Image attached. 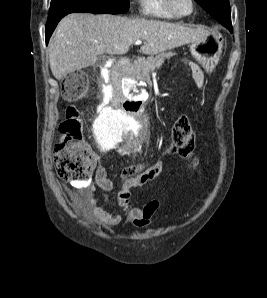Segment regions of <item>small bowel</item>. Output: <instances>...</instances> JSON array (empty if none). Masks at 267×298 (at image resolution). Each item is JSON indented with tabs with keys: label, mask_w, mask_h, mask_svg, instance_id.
<instances>
[{
	"label": "small bowel",
	"mask_w": 267,
	"mask_h": 298,
	"mask_svg": "<svg viewBox=\"0 0 267 298\" xmlns=\"http://www.w3.org/2000/svg\"><path fill=\"white\" fill-rule=\"evenodd\" d=\"M190 67L195 84L203 91L206 86V80L202 69L194 62H190ZM163 171L164 165L158 163L153 167L150 174L125 182L122 190L119 192L117 204L123 209L127 221L133 226H148L151 223L153 216L160 208V201L153 199L142 207L134 206L131 202L130 189L145 185L148 181L154 179ZM95 183L97 187L105 192H109L113 189V184L107 178L106 170L102 165H99L96 169ZM96 186L90 184L85 187L86 192L83 195L77 194L72 190H68L67 194L89 221L101 223L106 226L118 225L122 220L121 215L108 212L98 205L96 199Z\"/></svg>",
	"instance_id": "small-bowel-1"
}]
</instances>
